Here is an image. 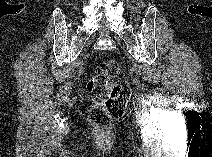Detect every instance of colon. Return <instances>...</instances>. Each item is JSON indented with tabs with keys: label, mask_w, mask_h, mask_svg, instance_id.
<instances>
[{
	"label": "colon",
	"mask_w": 212,
	"mask_h": 157,
	"mask_svg": "<svg viewBox=\"0 0 212 157\" xmlns=\"http://www.w3.org/2000/svg\"><path fill=\"white\" fill-rule=\"evenodd\" d=\"M122 71L116 60H108L89 78V92L100 99L90 111V120L99 128L109 127L125 114L131 89L129 83L120 78Z\"/></svg>",
	"instance_id": "1"
}]
</instances>
